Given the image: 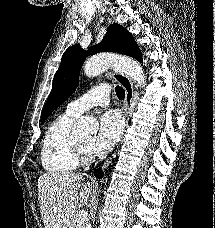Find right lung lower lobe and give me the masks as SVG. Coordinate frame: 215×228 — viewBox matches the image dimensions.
<instances>
[{"mask_svg":"<svg viewBox=\"0 0 215 228\" xmlns=\"http://www.w3.org/2000/svg\"><path fill=\"white\" fill-rule=\"evenodd\" d=\"M94 174L97 178H102L103 172L101 171V169L95 170Z\"/></svg>","mask_w":215,"mask_h":228,"instance_id":"1","label":"right lung lower lobe"}]
</instances>
